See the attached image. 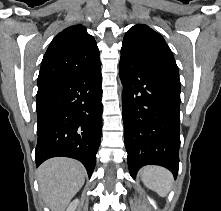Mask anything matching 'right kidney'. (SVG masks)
Masks as SVG:
<instances>
[{"instance_id": "1", "label": "right kidney", "mask_w": 221, "mask_h": 211, "mask_svg": "<svg viewBox=\"0 0 221 211\" xmlns=\"http://www.w3.org/2000/svg\"><path fill=\"white\" fill-rule=\"evenodd\" d=\"M78 203H79V200L78 199H75L73 200L70 205L68 206L67 210L66 211H75V209L77 208L78 206Z\"/></svg>"}]
</instances>
